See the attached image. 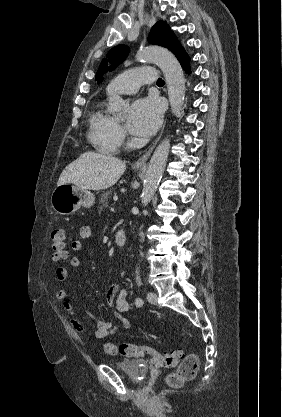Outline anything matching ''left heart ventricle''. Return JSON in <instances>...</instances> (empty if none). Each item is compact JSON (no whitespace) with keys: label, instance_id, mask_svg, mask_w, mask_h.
<instances>
[{"label":"left heart ventricle","instance_id":"obj_1","mask_svg":"<svg viewBox=\"0 0 282 417\" xmlns=\"http://www.w3.org/2000/svg\"><path fill=\"white\" fill-rule=\"evenodd\" d=\"M124 118H125V116L124 117H120V118H116V119H117L118 122L122 123L124 121Z\"/></svg>","mask_w":282,"mask_h":417}]
</instances>
